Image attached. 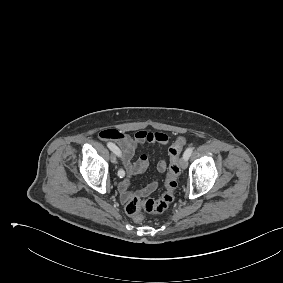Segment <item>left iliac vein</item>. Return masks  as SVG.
<instances>
[{
	"label": "left iliac vein",
	"mask_w": 283,
	"mask_h": 283,
	"mask_svg": "<svg viewBox=\"0 0 283 283\" xmlns=\"http://www.w3.org/2000/svg\"><path fill=\"white\" fill-rule=\"evenodd\" d=\"M180 166H181L182 169H186V168H187L188 162H187V159H186V158L182 157V158L180 159Z\"/></svg>",
	"instance_id": "left-iliac-vein-1"
}]
</instances>
